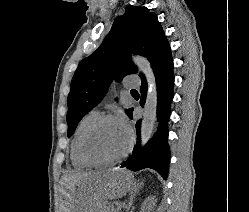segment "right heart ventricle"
Masks as SVG:
<instances>
[{
  "label": "right heart ventricle",
  "instance_id": "e07e8e85",
  "mask_svg": "<svg viewBox=\"0 0 249 212\" xmlns=\"http://www.w3.org/2000/svg\"><path fill=\"white\" fill-rule=\"evenodd\" d=\"M99 115V112L96 110H90L88 111L78 122L76 128L74 129V132L71 137V141L69 144V160L70 164L74 169L77 170H83L88 167L87 164H85L78 153V143L80 136L84 130V128L97 116Z\"/></svg>",
  "mask_w": 249,
  "mask_h": 212
}]
</instances>
